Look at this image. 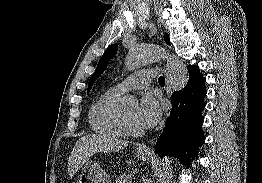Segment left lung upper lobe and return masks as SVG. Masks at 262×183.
Returning a JSON list of instances; mask_svg holds the SVG:
<instances>
[{
  "mask_svg": "<svg viewBox=\"0 0 262 183\" xmlns=\"http://www.w3.org/2000/svg\"><path fill=\"white\" fill-rule=\"evenodd\" d=\"M164 38L167 43H169V36L167 34H164ZM118 45L113 44L111 45L103 54L101 59L98 62L97 68L93 75L91 76L88 84V91L91 89L92 85L96 81V79L101 75V73L106 69L108 62L112 59V57L116 54L117 52Z\"/></svg>",
  "mask_w": 262,
  "mask_h": 183,
  "instance_id": "5c2ea615",
  "label": "left lung upper lobe"
}]
</instances>
